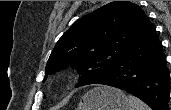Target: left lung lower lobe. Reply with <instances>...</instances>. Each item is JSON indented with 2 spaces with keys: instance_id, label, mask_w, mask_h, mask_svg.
I'll use <instances>...</instances> for the list:
<instances>
[{
  "instance_id": "1",
  "label": "left lung lower lobe",
  "mask_w": 171,
  "mask_h": 110,
  "mask_svg": "<svg viewBox=\"0 0 171 110\" xmlns=\"http://www.w3.org/2000/svg\"><path fill=\"white\" fill-rule=\"evenodd\" d=\"M162 43L149 22L117 65L95 84L125 90L144 101L152 110H170V76Z\"/></svg>"
}]
</instances>
